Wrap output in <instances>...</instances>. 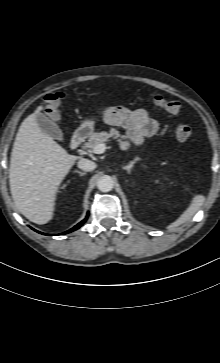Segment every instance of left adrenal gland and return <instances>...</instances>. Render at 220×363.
I'll return each mask as SVG.
<instances>
[{
  "mask_svg": "<svg viewBox=\"0 0 220 363\" xmlns=\"http://www.w3.org/2000/svg\"><path fill=\"white\" fill-rule=\"evenodd\" d=\"M138 161V158H135L134 160L130 161V163L128 165L123 166L124 170H127L128 173L131 172V170L134 167V164Z\"/></svg>",
  "mask_w": 220,
  "mask_h": 363,
  "instance_id": "a2214340",
  "label": "left adrenal gland"
}]
</instances>
